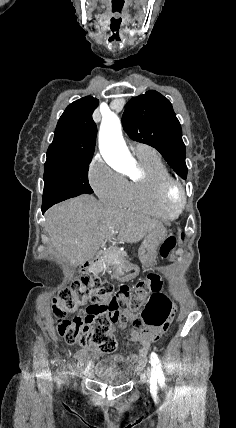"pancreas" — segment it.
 I'll return each mask as SVG.
<instances>
[{"instance_id":"pancreas-1","label":"pancreas","mask_w":236,"mask_h":428,"mask_svg":"<svg viewBox=\"0 0 236 428\" xmlns=\"http://www.w3.org/2000/svg\"><path fill=\"white\" fill-rule=\"evenodd\" d=\"M112 252H114L120 260H126V258H128L126 252H119V248H113ZM94 268L97 274H99V272H103L105 264H102V262H96V264H94Z\"/></svg>"}]
</instances>
